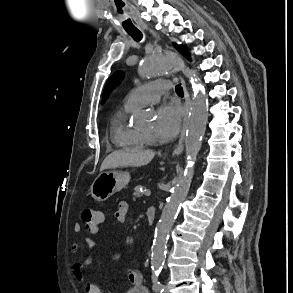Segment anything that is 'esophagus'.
Instances as JSON below:
<instances>
[{"mask_svg":"<svg viewBox=\"0 0 293 293\" xmlns=\"http://www.w3.org/2000/svg\"><path fill=\"white\" fill-rule=\"evenodd\" d=\"M143 28L148 29L147 26H144ZM150 31L153 33L152 30H150ZM181 84H182V87L184 90L185 103H186L187 107L189 108L190 98H189V94H188V91L186 89L185 82L183 79H181ZM185 128H186V124H184V126H183V130H182L178 145L176 146L175 150L173 151V154H175V155H178L183 151V138H184Z\"/></svg>","mask_w":293,"mask_h":293,"instance_id":"esophagus-1","label":"esophagus"}]
</instances>
